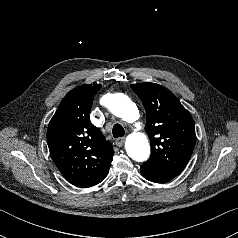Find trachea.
<instances>
[{"instance_id": "obj_1", "label": "trachea", "mask_w": 238, "mask_h": 238, "mask_svg": "<svg viewBox=\"0 0 238 238\" xmlns=\"http://www.w3.org/2000/svg\"><path fill=\"white\" fill-rule=\"evenodd\" d=\"M113 137H122L125 134L124 128L120 124H115L112 129Z\"/></svg>"}]
</instances>
